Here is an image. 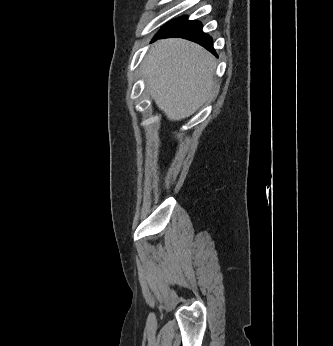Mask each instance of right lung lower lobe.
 <instances>
[{
    "label": "right lung lower lobe",
    "instance_id": "98d812e1",
    "mask_svg": "<svg viewBox=\"0 0 333 346\" xmlns=\"http://www.w3.org/2000/svg\"><path fill=\"white\" fill-rule=\"evenodd\" d=\"M169 37L191 40L215 54L212 38L202 31V24L197 20L189 21L186 16L180 17L174 20L168 28L159 32L154 40Z\"/></svg>",
    "mask_w": 333,
    "mask_h": 346
}]
</instances>
